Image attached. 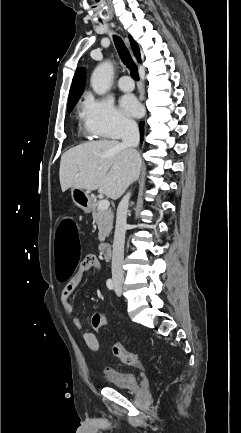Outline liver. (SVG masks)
<instances>
[{
  "instance_id": "6515ba94",
  "label": "liver",
  "mask_w": 241,
  "mask_h": 433,
  "mask_svg": "<svg viewBox=\"0 0 241 433\" xmlns=\"http://www.w3.org/2000/svg\"><path fill=\"white\" fill-rule=\"evenodd\" d=\"M139 166L138 153L118 141L84 143L69 149L61 157V190H98L116 200L137 177Z\"/></svg>"
}]
</instances>
